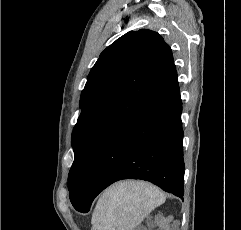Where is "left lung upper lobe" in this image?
<instances>
[{"instance_id":"left-lung-upper-lobe-1","label":"left lung upper lobe","mask_w":241,"mask_h":230,"mask_svg":"<svg viewBox=\"0 0 241 230\" xmlns=\"http://www.w3.org/2000/svg\"><path fill=\"white\" fill-rule=\"evenodd\" d=\"M172 50L157 32L130 31L108 46L91 69L72 133L68 176L72 204L80 202L89 172L107 141L175 74Z\"/></svg>"}]
</instances>
